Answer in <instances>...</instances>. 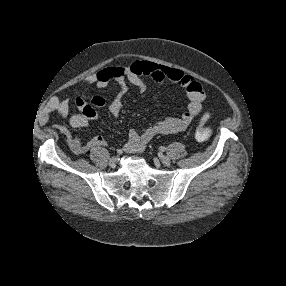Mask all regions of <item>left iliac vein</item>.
Here are the masks:
<instances>
[{"label":"left iliac vein","instance_id":"1","mask_svg":"<svg viewBox=\"0 0 286 286\" xmlns=\"http://www.w3.org/2000/svg\"><path fill=\"white\" fill-rule=\"evenodd\" d=\"M160 162L163 164V165H170L171 164V159L167 156H161L160 158Z\"/></svg>","mask_w":286,"mask_h":286}]
</instances>
